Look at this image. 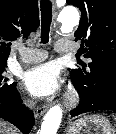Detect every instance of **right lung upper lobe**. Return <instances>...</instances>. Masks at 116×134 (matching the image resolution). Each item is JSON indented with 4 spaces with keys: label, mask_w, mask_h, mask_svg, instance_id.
Segmentation results:
<instances>
[{
    "label": "right lung upper lobe",
    "mask_w": 116,
    "mask_h": 134,
    "mask_svg": "<svg viewBox=\"0 0 116 134\" xmlns=\"http://www.w3.org/2000/svg\"><path fill=\"white\" fill-rule=\"evenodd\" d=\"M38 26V0H0V64H7L10 41L28 37Z\"/></svg>",
    "instance_id": "obj_1"
}]
</instances>
